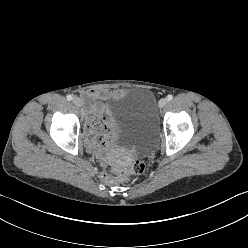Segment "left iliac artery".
Segmentation results:
<instances>
[{"label":"left iliac artery","mask_w":248,"mask_h":248,"mask_svg":"<svg viewBox=\"0 0 248 248\" xmlns=\"http://www.w3.org/2000/svg\"><path fill=\"white\" fill-rule=\"evenodd\" d=\"M173 99V96L171 95V94H169L168 96H167V100L168 101H171Z\"/></svg>","instance_id":"1"}]
</instances>
